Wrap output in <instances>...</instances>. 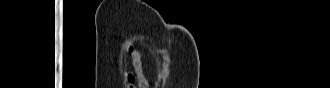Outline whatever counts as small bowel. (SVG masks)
Wrapping results in <instances>:
<instances>
[{"instance_id":"c3829d8e","label":"small bowel","mask_w":330,"mask_h":88,"mask_svg":"<svg viewBox=\"0 0 330 88\" xmlns=\"http://www.w3.org/2000/svg\"><path fill=\"white\" fill-rule=\"evenodd\" d=\"M132 58H133V66L136 70L140 69L141 68V61H140V53L138 51H135L133 54H132ZM126 81L132 85L134 84L136 81H137V78L134 74H131L129 73L127 76H126Z\"/></svg>"}]
</instances>
